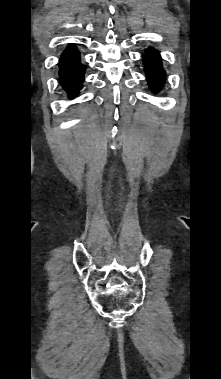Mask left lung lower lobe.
Wrapping results in <instances>:
<instances>
[{
    "label": "left lung lower lobe",
    "mask_w": 221,
    "mask_h": 379,
    "mask_svg": "<svg viewBox=\"0 0 221 379\" xmlns=\"http://www.w3.org/2000/svg\"><path fill=\"white\" fill-rule=\"evenodd\" d=\"M143 57L148 83L154 91H159L165 80L160 55L157 51L149 49Z\"/></svg>",
    "instance_id": "0a47b994"
}]
</instances>
